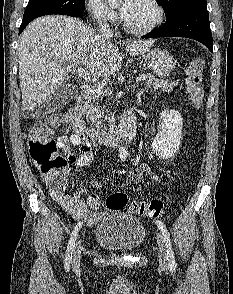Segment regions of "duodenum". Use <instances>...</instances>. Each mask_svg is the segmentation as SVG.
I'll return each instance as SVG.
<instances>
[{"label":"duodenum","mask_w":233,"mask_h":294,"mask_svg":"<svg viewBox=\"0 0 233 294\" xmlns=\"http://www.w3.org/2000/svg\"><path fill=\"white\" fill-rule=\"evenodd\" d=\"M66 117L71 122L74 132L91 144L117 146L124 141L132 140L136 135L135 117L131 112L112 130L88 128L75 108H70Z\"/></svg>","instance_id":"duodenum-1"}]
</instances>
